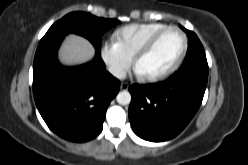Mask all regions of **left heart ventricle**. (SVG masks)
I'll return each instance as SVG.
<instances>
[{"mask_svg": "<svg viewBox=\"0 0 248 165\" xmlns=\"http://www.w3.org/2000/svg\"><path fill=\"white\" fill-rule=\"evenodd\" d=\"M182 44L183 39L179 32L174 30L166 32L154 47L139 60L137 68L144 76L160 72L176 58Z\"/></svg>", "mask_w": 248, "mask_h": 165, "instance_id": "obj_1", "label": "left heart ventricle"}]
</instances>
